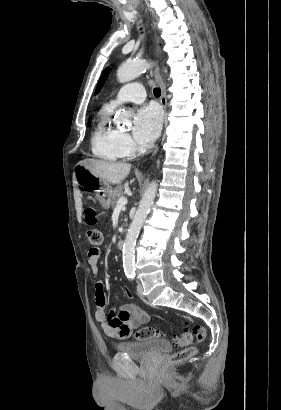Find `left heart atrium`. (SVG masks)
Listing matches in <instances>:
<instances>
[{"label": "left heart atrium", "mask_w": 281, "mask_h": 410, "mask_svg": "<svg viewBox=\"0 0 281 410\" xmlns=\"http://www.w3.org/2000/svg\"><path fill=\"white\" fill-rule=\"evenodd\" d=\"M162 124V114L154 105L138 109L134 115L133 136L139 143L152 142L159 134Z\"/></svg>", "instance_id": "39dd6f15"}]
</instances>
